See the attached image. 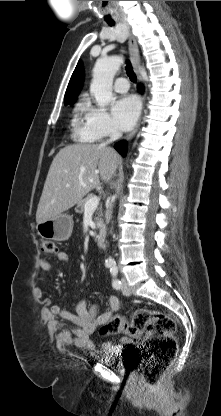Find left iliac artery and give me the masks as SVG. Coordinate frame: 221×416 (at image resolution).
Returning <instances> with one entry per match:
<instances>
[{
  "label": "left iliac artery",
  "mask_w": 221,
  "mask_h": 416,
  "mask_svg": "<svg viewBox=\"0 0 221 416\" xmlns=\"http://www.w3.org/2000/svg\"><path fill=\"white\" fill-rule=\"evenodd\" d=\"M110 272H111V275L113 277V281H112L113 288H115L117 290L120 289L121 288V281L117 278V275H118V268H117V266L116 265H112L110 267Z\"/></svg>",
  "instance_id": "44dca946"
}]
</instances>
